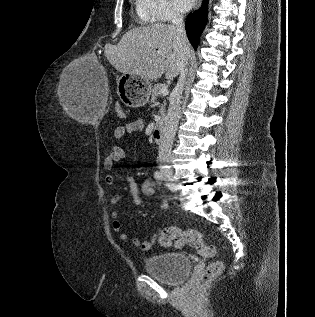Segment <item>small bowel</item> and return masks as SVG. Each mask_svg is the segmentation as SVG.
<instances>
[{"mask_svg":"<svg viewBox=\"0 0 315 317\" xmlns=\"http://www.w3.org/2000/svg\"><path fill=\"white\" fill-rule=\"evenodd\" d=\"M144 126H145L144 122L140 118H137L132 121H128L124 125L119 126L115 129L114 137L116 139H121L125 137L126 135L141 132L143 131ZM125 157H126L125 150L121 146H115L113 147L109 155L105 158L104 168L108 172L105 178V182L107 186L110 187L111 185H113L115 181V175L112 172L114 166L117 163L123 161ZM155 188H156L155 182L151 179H146L142 183L141 188L139 189L135 179L131 176H128L125 178V185L123 190L131 194L133 203L139 207L142 204V199L140 197V190L144 195L153 196L155 195ZM110 201L113 205L119 204L121 202V195L117 193L112 194ZM160 207L163 210H168L169 204L166 200H161ZM111 217H112V229L118 234L119 238L122 241L128 240L130 236H129V233L126 230H124L122 223L119 220V211L116 209L113 210L111 213ZM156 240H157V234H152L148 240H141L138 237H133L131 239V243L134 246L140 247L142 250H149Z\"/></svg>","mask_w":315,"mask_h":317,"instance_id":"obj_1","label":"small bowel"}]
</instances>
